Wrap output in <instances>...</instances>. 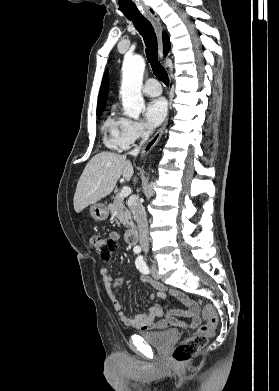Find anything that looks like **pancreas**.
Segmentation results:
<instances>
[{
    "instance_id": "obj_1",
    "label": "pancreas",
    "mask_w": 279,
    "mask_h": 391,
    "mask_svg": "<svg viewBox=\"0 0 279 391\" xmlns=\"http://www.w3.org/2000/svg\"><path fill=\"white\" fill-rule=\"evenodd\" d=\"M113 203L108 206V210L110 211L113 217L118 219V223H122L125 227H132V217L130 211L125 207L124 200L121 197H112Z\"/></svg>"
}]
</instances>
